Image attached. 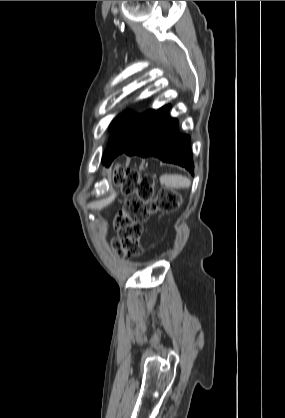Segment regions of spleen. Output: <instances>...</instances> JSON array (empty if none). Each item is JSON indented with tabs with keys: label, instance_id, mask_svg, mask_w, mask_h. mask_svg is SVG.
Returning a JSON list of instances; mask_svg holds the SVG:
<instances>
[{
	"label": "spleen",
	"instance_id": "spleen-1",
	"mask_svg": "<svg viewBox=\"0 0 285 418\" xmlns=\"http://www.w3.org/2000/svg\"><path fill=\"white\" fill-rule=\"evenodd\" d=\"M160 182L170 188H189L191 185L190 179L178 174L162 175Z\"/></svg>",
	"mask_w": 285,
	"mask_h": 418
}]
</instances>
